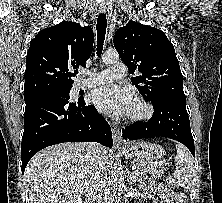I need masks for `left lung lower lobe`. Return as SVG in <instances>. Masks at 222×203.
<instances>
[{
    "mask_svg": "<svg viewBox=\"0 0 222 203\" xmlns=\"http://www.w3.org/2000/svg\"><path fill=\"white\" fill-rule=\"evenodd\" d=\"M153 108L154 114L148 122H137L122 128V138L135 140L152 136L168 137L184 144L195 156L185 99L168 97L153 105Z\"/></svg>",
    "mask_w": 222,
    "mask_h": 203,
    "instance_id": "obj_1",
    "label": "left lung lower lobe"
}]
</instances>
